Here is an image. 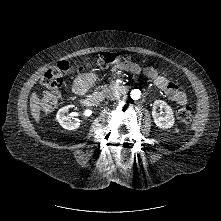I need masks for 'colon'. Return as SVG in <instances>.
I'll list each match as a JSON object with an SVG mask.
<instances>
[{
	"label": "colon",
	"mask_w": 221,
	"mask_h": 221,
	"mask_svg": "<svg viewBox=\"0 0 221 221\" xmlns=\"http://www.w3.org/2000/svg\"><path fill=\"white\" fill-rule=\"evenodd\" d=\"M120 64L122 67H127L131 64V58L127 54L119 56L117 53H104L98 59V65L102 67L117 66ZM71 69V66L65 62H59L57 65L49 68L42 78V83L45 87L50 89L42 98V109L46 112L51 111L57 104L59 94L55 90L63 84L64 77ZM81 70V69H80ZM178 118L183 122H189L192 117V108L188 103V100L180 104V108L177 112Z\"/></svg>",
	"instance_id": "obj_1"
}]
</instances>
